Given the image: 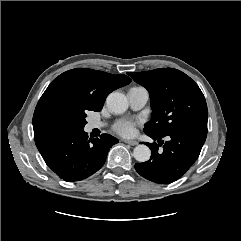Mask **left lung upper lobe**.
<instances>
[{"label": "left lung upper lobe", "mask_w": 241, "mask_h": 241, "mask_svg": "<svg viewBox=\"0 0 241 241\" xmlns=\"http://www.w3.org/2000/svg\"><path fill=\"white\" fill-rule=\"evenodd\" d=\"M129 76L150 95L152 116L144 132L166 136L190 128H207L208 110L198 85L183 72L172 68L129 72Z\"/></svg>", "instance_id": "left-lung-upper-lobe-1"}]
</instances>
